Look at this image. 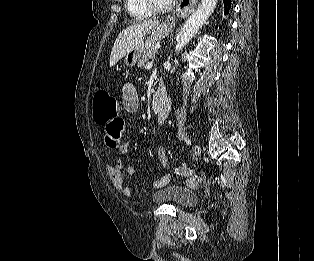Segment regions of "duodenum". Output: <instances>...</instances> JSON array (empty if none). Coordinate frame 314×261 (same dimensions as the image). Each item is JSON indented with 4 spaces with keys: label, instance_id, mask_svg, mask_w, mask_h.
I'll list each match as a JSON object with an SVG mask.
<instances>
[{
    "label": "duodenum",
    "instance_id": "1",
    "mask_svg": "<svg viewBox=\"0 0 314 261\" xmlns=\"http://www.w3.org/2000/svg\"><path fill=\"white\" fill-rule=\"evenodd\" d=\"M170 107V98L165 91V88L162 84H159L157 93L153 97L152 100V110L157 116V118H160L164 116Z\"/></svg>",
    "mask_w": 314,
    "mask_h": 261
}]
</instances>
